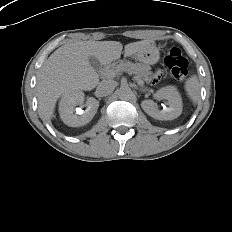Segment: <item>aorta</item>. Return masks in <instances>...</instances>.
Returning a JSON list of instances; mask_svg holds the SVG:
<instances>
[{"label":"aorta","instance_id":"aorta-1","mask_svg":"<svg viewBox=\"0 0 232 232\" xmlns=\"http://www.w3.org/2000/svg\"><path fill=\"white\" fill-rule=\"evenodd\" d=\"M118 96L122 100H129L133 96V91L129 86H122L118 90Z\"/></svg>","mask_w":232,"mask_h":232}]
</instances>
